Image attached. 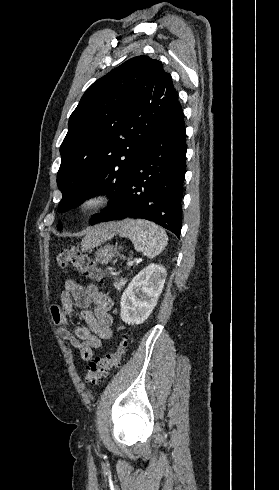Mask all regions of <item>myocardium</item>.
Segmentation results:
<instances>
[{
	"label": "myocardium",
	"mask_w": 279,
	"mask_h": 490,
	"mask_svg": "<svg viewBox=\"0 0 279 490\" xmlns=\"http://www.w3.org/2000/svg\"><path fill=\"white\" fill-rule=\"evenodd\" d=\"M113 200L114 192L110 187L92 185L84 190L77 207L80 213L88 215L108 206Z\"/></svg>",
	"instance_id": "obj_1"
}]
</instances>
